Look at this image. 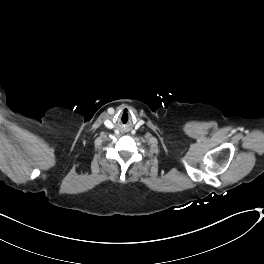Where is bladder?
<instances>
[{
	"instance_id": "1",
	"label": "bladder",
	"mask_w": 264,
	"mask_h": 264,
	"mask_svg": "<svg viewBox=\"0 0 264 264\" xmlns=\"http://www.w3.org/2000/svg\"><path fill=\"white\" fill-rule=\"evenodd\" d=\"M0 135L3 136L6 139V137L3 134H0Z\"/></svg>"
}]
</instances>
